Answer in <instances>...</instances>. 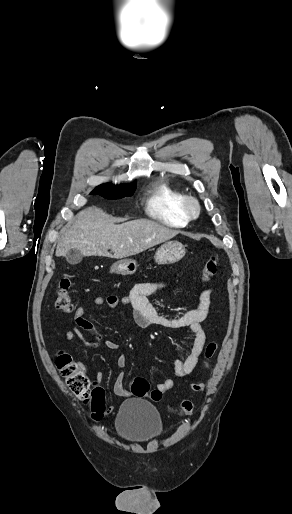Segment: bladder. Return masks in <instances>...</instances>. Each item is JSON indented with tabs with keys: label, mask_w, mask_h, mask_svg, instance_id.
I'll list each match as a JSON object with an SVG mask.
<instances>
[{
	"label": "bladder",
	"mask_w": 292,
	"mask_h": 514,
	"mask_svg": "<svg viewBox=\"0 0 292 514\" xmlns=\"http://www.w3.org/2000/svg\"><path fill=\"white\" fill-rule=\"evenodd\" d=\"M115 428L118 436L132 443H141L159 437L164 430L158 410L149 402L129 399L120 407Z\"/></svg>",
	"instance_id": "obj_1"
}]
</instances>
